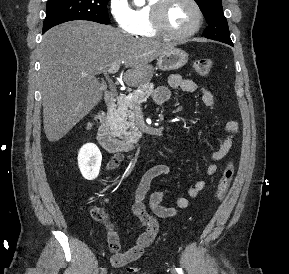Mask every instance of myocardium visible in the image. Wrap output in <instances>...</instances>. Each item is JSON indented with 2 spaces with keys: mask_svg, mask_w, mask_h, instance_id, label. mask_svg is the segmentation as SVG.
Wrapping results in <instances>:
<instances>
[{
  "mask_svg": "<svg viewBox=\"0 0 289 274\" xmlns=\"http://www.w3.org/2000/svg\"><path fill=\"white\" fill-rule=\"evenodd\" d=\"M173 0H157L156 3L152 6L151 10V20H152V26L154 30L161 36H164L166 38H170L173 40H183L190 38L194 36L198 31L201 29L204 15L201 6L197 2V0H188L192 6L194 7L196 14H197V21L194 27L186 32H173L171 31L165 21L166 17V11L168 8V5Z\"/></svg>",
  "mask_w": 289,
  "mask_h": 274,
  "instance_id": "1",
  "label": "myocardium"
}]
</instances>
